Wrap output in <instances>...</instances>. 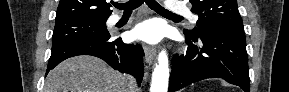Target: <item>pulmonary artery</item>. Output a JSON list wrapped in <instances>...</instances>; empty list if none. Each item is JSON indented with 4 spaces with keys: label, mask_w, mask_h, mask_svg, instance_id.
Returning <instances> with one entry per match:
<instances>
[{
    "label": "pulmonary artery",
    "mask_w": 289,
    "mask_h": 92,
    "mask_svg": "<svg viewBox=\"0 0 289 92\" xmlns=\"http://www.w3.org/2000/svg\"><path fill=\"white\" fill-rule=\"evenodd\" d=\"M166 8H167V10L169 12H172V13H175V14L187 15L192 22H196L197 21V16L192 14L190 12V10L187 7H185L184 5H182V4H178V3H175V2H167ZM119 19H120V16L119 15H115V16L112 17L111 21L112 22H117Z\"/></svg>",
    "instance_id": "obj_1"
}]
</instances>
